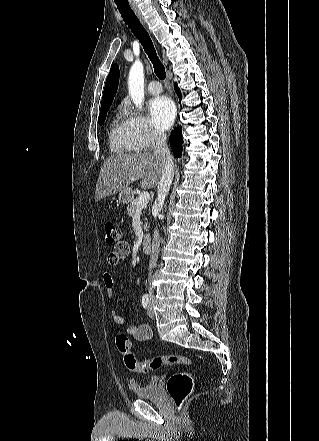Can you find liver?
<instances>
[{
    "mask_svg": "<svg viewBox=\"0 0 319 441\" xmlns=\"http://www.w3.org/2000/svg\"><path fill=\"white\" fill-rule=\"evenodd\" d=\"M163 171L164 162L150 153L108 157L101 167L96 183L95 201L125 190L139 179H142V188H154L159 185Z\"/></svg>",
    "mask_w": 319,
    "mask_h": 441,
    "instance_id": "1",
    "label": "liver"
}]
</instances>
